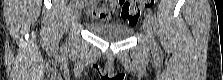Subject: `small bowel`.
Wrapping results in <instances>:
<instances>
[{
    "mask_svg": "<svg viewBox=\"0 0 223 80\" xmlns=\"http://www.w3.org/2000/svg\"><path fill=\"white\" fill-rule=\"evenodd\" d=\"M87 13L94 19H109L116 12L113 6L90 3L87 6Z\"/></svg>",
    "mask_w": 223,
    "mask_h": 80,
    "instance_id": "c3829d8e",
    "label": "small bowel"
}]
</instances>
